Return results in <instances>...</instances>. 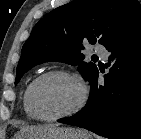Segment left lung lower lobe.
<instances>
[{
	"instance_id": "obj_1",
	"label": "left lung lower lobe",
	"mask_w": 141,
	"mask_h": 139,
	"mask_svg": "<svg viewBox=\"0 0 141 139\" xmlns=\"http://www.w3.org/2000/svg\"><path fill=\"white\" fill-rule=\"evenodd\" d=\"M110 72L104 84L98 69L90 78L87 104L74 116L58 122L83 127L112 139H141V22L127 34L111 41Z\"/></svg>"
}]
</instances>
